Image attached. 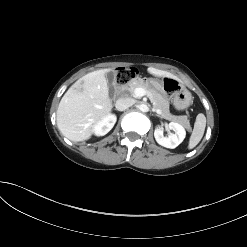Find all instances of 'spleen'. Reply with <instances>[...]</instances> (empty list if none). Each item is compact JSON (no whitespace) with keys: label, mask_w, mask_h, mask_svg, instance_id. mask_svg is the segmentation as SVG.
Segmentation results:
<instances>
[{"label":"spleen","mask_w":247,"mask_h":247,"mask_svg":"<svg viewBox=\"0 0 247 247\" xmlns=\"http://www.w3.org/2000/svg\"><path fill=\"white\" fill-rule=\"evenodd\" d=\"M206 127V117L200 113L196 117L193 132L189 139L188 148L193 149L202 139Z\"/></svg>","instance_id":"spleen-1"}]
</instances>
